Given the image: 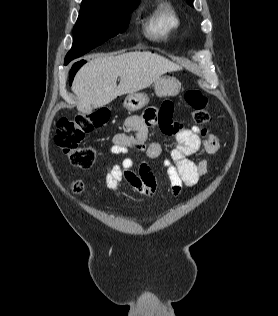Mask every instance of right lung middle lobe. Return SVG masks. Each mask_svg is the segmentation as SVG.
Here are the masks:
<instances>
[{
    "label": "right lung middle lobe",
    "mask_w": 278,
    "mask_h": 316,
    "mask_svg": "<svg viewBox=\"0 0 278 316\" xmlns=\"http://www.w3.org/2000/svg\"><path fill=\"white\" fill-rule=\"evenodd\" d=\"M138 3L139 1L116 4L82 3L73 30L72 48L65 57V65L124 32L129 24V13Z\"/></svg>",
    "instance_id": "obj_1"
}]
</instances>
